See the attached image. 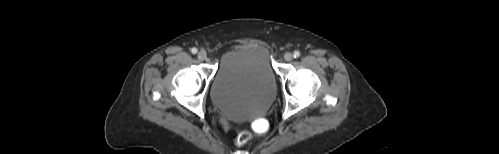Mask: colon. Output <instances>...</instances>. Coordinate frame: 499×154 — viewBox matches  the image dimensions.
Here are the masks:
<instances>
[{"label":"colon","instance_id":"5ec220e1","mask_svg":"<svg viewBox=\"0 0 499 154\" xmlns=\"http://www.w3.org/2000/svg\"><path fill=\"white\" fill-rule=\"evenodd\" d=\"M252 129L256 133H264V132L267 131L268 125L263 120H256L252 124ZM250 138H251V134L249 132H247V131H243L237 137V144L238 145H244L245 143H247L250 140Z\"/></svg>","mask_w":499,"mask_h":154}]
</instances>
